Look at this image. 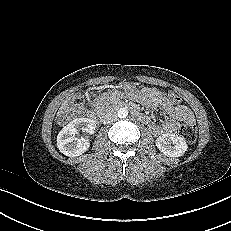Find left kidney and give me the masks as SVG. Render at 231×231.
<instances>
[{
  "mask_svg": "<svg viewBox=\"0 0 231 231\" xmlns=\"http://www.w3.org/2000/svg\"><path fill=\"white\" fill-rule=\"evenodd\" d=\"M156 146L164 155L180 157L187 151V143L184 138L175 134H162L156 139Z\"/></svg>",
  "mask_w": 231,
  "mask_h": 231,
  "instance_id": "1",
  "label": "left kidney"
}]
</instances>
